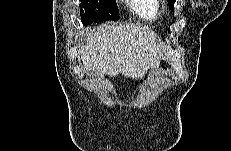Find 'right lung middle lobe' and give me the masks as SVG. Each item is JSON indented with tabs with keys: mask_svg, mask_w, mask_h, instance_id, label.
<instances>
[{
	"mask_svg": "<svg viewBox=\"0 0 231 151\" xmlns=\"http://www.w3.org/2000/svg\"><path fill=\"white\" fill-rule=\"evenodd\" d=\"M80 7L81 20L84 25L117 20L119 16L116 0H82Z\"/></svg>",
	"mask_w": 231,
	"mask_h": 151,
	"instance_id": "obj_1",
	"label": "right lung middle lobe"
}]
</instances>
